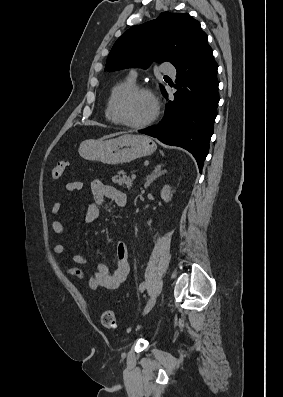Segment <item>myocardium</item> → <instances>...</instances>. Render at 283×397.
<instances>
[{
    "label": "myocardium",
    "mask_w": 283,
    "mask_h": 397,
    "mask_svg": "<svg viewBox=\"0 0 283 397\" xmlns=\"http://www.w3.org/2000/svg\"><path fill=\"white\" fill-rule=\"evenodd\" d=\"M139 93L147 94L152 98V100L154 102V111H153L152 115L145 121L140 122V123H132V122H129L124 116V105L128 99H130L132 96L139 94ZM159 110H160V105H159V101H158L157 97L149 88H147L145 86L134 85L133 87L127 89L121 95H119V97L117 98V100L115 102V113H116L119 123L128 127V128H132V129L144 128V127L150 125L151 123H153L159 115Z\"/></svg>",
    "instance_id": "myocardium-1"
}]
</instances>
